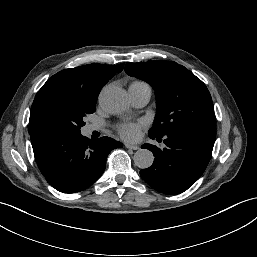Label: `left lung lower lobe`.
Returning a JSON list of instances; mask_svg holds the SVG:
<instances>
[{"label": "left lung lower lobe", "instance_id": "left-lung-lower-lobe-1", "mask_svg": "<svg viewBox=\"0 0 257 257\" xmlns=\"http://www.w3.org/2000/svg\"><path fill=\"white\" fill-rule=\"evenodd\" d=\"M164 137L166 147L163 149L151 144L141 146L152 151L155 159L152 166L140 171V175L155 190L176 195L193 185L206 169L216 139V128L214 125L186 127Z\"/></svg>", "mask_w": 257, "mask_h": 257}]
</instances>
